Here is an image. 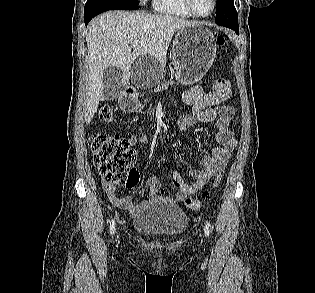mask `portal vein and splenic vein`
Listing matches in <instances>:
<instances>
[{
    "label": "portal vein and splenic vein",
    "mask_w": 315,
    "mask_h": 293,
    "mask_svg": "<svg viewBox=\"0 0 315 293\" xmlns=\"http://www.w3.org/2000/svg\"><path fill=\"white\" fill-rule=\"evenodd\" d=\"M138 41H134L133 43H132V48H135L137 45H138Z\"/></svg>",
    "instance_id": "1"
}]
</instances>
